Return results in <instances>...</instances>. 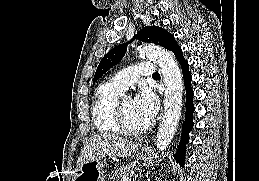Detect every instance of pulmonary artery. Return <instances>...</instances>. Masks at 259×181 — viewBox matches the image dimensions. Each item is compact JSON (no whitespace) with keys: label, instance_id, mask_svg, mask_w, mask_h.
Returning a JSON list of instances; mask_svg holds the SVG:
<instances>
[{"label":"pulmonary artery","instance_id":"1","mask_svg":"<svg viewBox=\"0 0 259 181\" xmlns=\"http://www.w3.org/2000/svg\"><path fill=\"white\" fill-rule=\"evenodd\" d=\"M155 67L150 62H139L131 67L125 68L118 72L110 79V83L116 87L126 90L130 85L136 82L141 76H153Z\"/></svg>","mask_w":259,"mask_h":181}]
</instances>
